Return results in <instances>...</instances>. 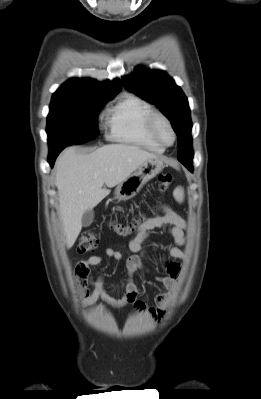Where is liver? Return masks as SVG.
<instances>
[{
    "label": "liver",
    "mask_w": 261,
    "mask_h": 399,
    "mask_svg": "<svg viewBox=\"0 0 261 399\" xmlns=\"http://www.w3.org/2000/svg\"><path fill=\"white\" fill-rule=\"evenodd\" d=\"M158 158L138 146L110 144L89 154L66 149L56 162V186L65 242L70 249L82 229V216L92 210L112 188L148 159Z\"/></svg>",
    "instance_id": "6515ba94"
}]
</instances>
